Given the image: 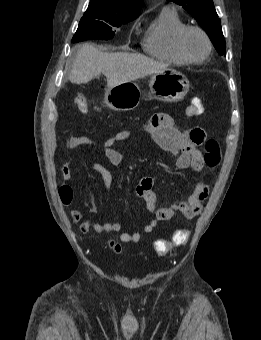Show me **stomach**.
Segmentation results:
<instances>
[{
    "label": "stomach",
    "mask_w": 261,
    "mask_h": 340,
    "mask_svg": "<svg viewBox=\"0 0 261 340\" xmlns=\"http://www.w3.org/2000/svg\"><path fill=\"white\" fill-rule=\"evenodd\" d=\"M188 79L180 72L166 68L155 73L149 81L148 99H158L164 102H177L184 98L189 90ZM141 99V90L137 83L129 81L105 91L104 102L114 111L125 112L135 109Z\"/></svg>",
    "instance_id": "0dacf381"
}]
</instances>
